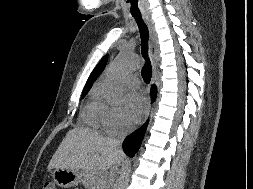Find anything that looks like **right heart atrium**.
<instances>
[{"label":"right heart atrium","instance_id":"right-heart-atrium-1","mask_svg":"<svg viewBox=\"0 0 253 189\" xmlns=\"http://www.w3.org/2000/svg\"><path fill=\"white\" fill-rule=\"evenodd\" d=\"M100 107L101 125L109 131L121 130L124 125L121 110L105 102H100Z\"/></svg>","mask_w":253,"mask_h":189}]
</instances>
